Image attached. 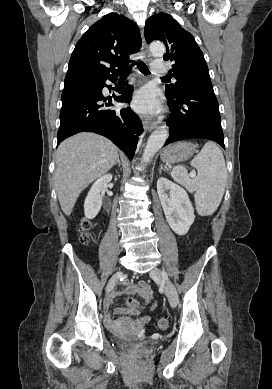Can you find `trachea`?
I'll use <instances>...</instances> for the list:
<instances>
[{"instance_id": "3493384b", "label": "trachea", "mask_w": 272, "mask_h": 389, "mask_svg": "<svg viewBox=\"0 0 272 389\" xmlns=\"http://www.w3.org/2000/svg\"><path fill=\"white\" fill-rule=\"evenodd\" d=\"M134 64H136V62H135ZM137 66H138L139 70H140L144 75L150 74V71H149L148 67L144 64L143 61H138ZM131 69H132V68H131L130 66H129V67H125V68L123 69L122 75H123V76L129 75V74L131 73Z\"/></svg>"}]
</instances>
